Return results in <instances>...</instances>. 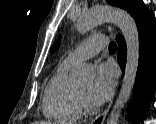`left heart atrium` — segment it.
<instances>
[{"instance_id":"obj_1","label":"left heart atrium","mask_w":156,"mask_h":124,"mask_svg":"<svg viewBox=\"0 0 156 124\" xmlns=\"http://www.w3.org/2000/svg\"><path fill=\"white\" fill-rule=\"evenodd\" d=\"M115 81V69L110 63L98 65L96 77L91 87V99L101 104L111 95Z\"/></svg>"}]
</instances>
